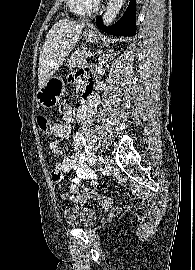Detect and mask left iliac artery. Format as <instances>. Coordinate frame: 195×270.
Segmentation results:
<instances>
[{
  "instance_id": "44dca946",
  "label": "left iliac artery",
  "mask_w": 195,
  "mask_h": 270,
  "mask_svg": "<svg viewBox=\"0 0 195 270\" xmlns=\"http://www.w3.org/2000/svg\"><path fill=\"white\" fill-rule=\"evenodd\" d=\"M103 156L101 155L100 157H99V164H101L102 162H103Z\"/></svg>"
}]
</instances>
